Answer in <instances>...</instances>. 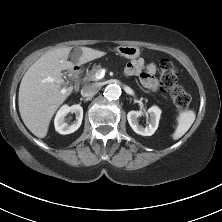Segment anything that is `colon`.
<instances>
[{"mask_svg":"<svg viewBox=\"0 0 222 222\" xmlns=\"http://www.w3.org/2000/svg\"><path fill=\"white\" fill-rule=\"evenodd\" d=\"M160 79L163 89L170 94L177 109L183 111L189 107L190 96L178 83V74L175 65L167 59L160 62Z\"/></svg>","mask_w":222,"mask_h":222,"instance_id":"colon-1","label":"colon"}]
</instances>
